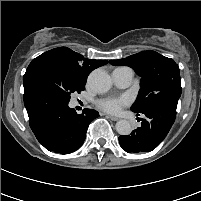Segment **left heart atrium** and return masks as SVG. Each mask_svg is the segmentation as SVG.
Masks as SVG:
<instances>
[{
    "label": "left heart atrium",
    "mask_w": 201,
    "mask_h": 201,
    "mask_svg": "<svg viewBox=\"0 0 201 201\" xmlns=\"http://www.w3.org/2000/svg\"><path fill=\"white\" fill-rule=\"evenodd\" d=\"M130 98L128 96L107 97L98 100L97 105L99 108L106 112L117 113L122 107L129 104Z\"/></svg>",
    "instance_id": "1"
}]
</instances>
